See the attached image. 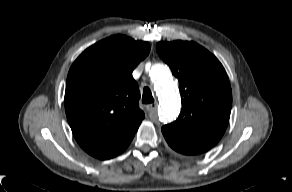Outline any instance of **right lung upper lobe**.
<instances>
[{"label": "right lung upper lobe", "instance_id": "right-lung-upper-lobe-1", "mask_svg": "<svg viewBox=\"0 0 292 192\" xmlns=\"http://www.w3.org/2000/svg\"><path fill=\"white\" fill-rule=\"evenodd\" d=\"M150 51V44L114 35L87 48L71 66L65 110L79 143L108 144L134 134L144 113L132 71Z\"/></svg>", "mask_w": 292, "mask_h": 192}]
</instances>
